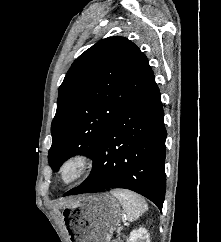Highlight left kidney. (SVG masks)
I'll use <instances>...</instances> for the list:
<instances>
[{
  "instance_id": "1",
  "label": "left kidney",
  "mask_w": 221,
  "mask_h": 242,
  "mask_svg": "<svg viewBox=\"0 0 221 242\" xmlns=\"http://www.w3.org/2000/svg\"><path fill=\"white\" fill-rule=\"evenodd\" d=\"M127 242H150L148 231L143 227L133 230Z\"/></svg>"
}]
</instances>
